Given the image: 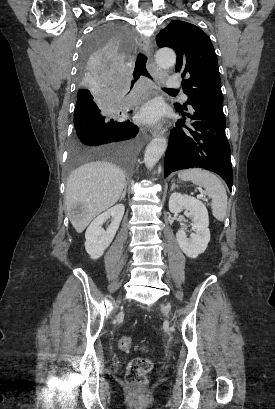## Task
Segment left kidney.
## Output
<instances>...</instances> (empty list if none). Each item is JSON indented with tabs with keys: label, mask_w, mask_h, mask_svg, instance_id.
I'll use <instances>...</instances> for the list:
<instances>
[{
	"label": "left kidney",
	"mask_w": 275,
	"mask_h": 409,
	"mask_svg": "<svg viewBox=\"0 0 275 409\" xmlns=\"http://www.w3.org/2000/svg\"><path fill=\"white\" fill-rule=\"evenodd\" d=\"M183 209L190 211L188 215L193 217L192 227L195 229V233H192L190 239H187L184 229H181V231L176 233V239L183 253L187 257H191V259H196L198 255L206 251L210 241L208 211L205 205H203L202 200L189 196V194L173 192L169 198L170 213H181Z\"/></svg>",
	"instance_id": "5707ae66"
}]
</instances>
